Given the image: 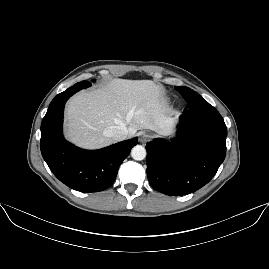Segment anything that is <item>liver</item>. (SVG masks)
I'll list each match as a JSON object with an SVG mask.
<instances>
[{"label": "liver", "instance_id": "1", "mask_svg": "<svg viewBox=\"0 0 269 269\" xmlns=\"http://www.w3.org/2000/svg\"><path fill=\"white\" fill-rule=\"evenodd\" d=\"M162 89L151 81L118 79L98 90L80 93L68 103V136L85 147H101L114 142L105 134L110 126H129L128 137L137 130L165 134L170 119Z\"/></svg>", "mask_w": 269, "mask_h": 269}]
</instances>
